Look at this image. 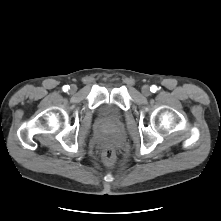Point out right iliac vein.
<instances>
[{"label":"right iliac vein","mask_w":221,"mask_h":221,"mask_svg":"<svg viewBox=\"0 0 221 221\" xmlns=\"http://www.w3.org/2000/svg\"><path fill=\"white\" fill-rule=\"evenodd\" d=\"M77 91V87L75 86V85H72L71 87H70V92L71 93H75Z\"/></svg>","instance_id":"63e3f726"}]
</instances>
